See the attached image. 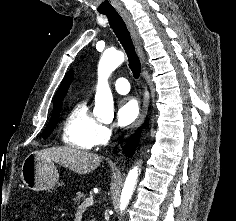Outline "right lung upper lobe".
Masks as SVG:
<instances>
[{"instance_id":"right-lung-upper-lobe-1","label":"right lung upper lobe","mask_w":236,"mask_h":221,"mask_svg":"<svg viewBox=\"0 0 236 221\" xmlns=\"http://www.w3.org/2000/svg\"><path fill=\"white\" fill-rule=\"evenodd\" d=\"M72 78H73V71L71 70L65 75L58 91L56 92L53 106H56L62 103V100L64 96L66 95L67 90L70 86Z\"/></svg>"}]
</instances>
